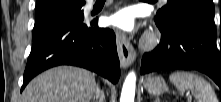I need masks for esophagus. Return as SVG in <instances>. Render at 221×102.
I'll return each mask as SVG.
<instances>
[{"instance_id": "esophagus-1", "label": "esophagus", "mask_w": 221, "mask_h": 102, "mask_svg": "<svg viewBox=\"0 0 221 102\" xmlns=\"http://www.w3.org/2000/svg\"><path fill=\"white\" fill-rule=\"evenodd\" d=\"M116 44L120 64L123 68L129 67L136 59V51L126 36L120 32H116Z\"/></svg>"}]
</instances>
